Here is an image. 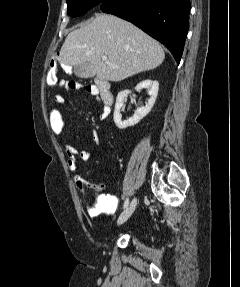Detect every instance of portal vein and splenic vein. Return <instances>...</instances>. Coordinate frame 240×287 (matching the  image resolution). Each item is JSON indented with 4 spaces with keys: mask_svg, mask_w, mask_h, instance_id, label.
<instances>
[{
    "mask_svg": "<svg viewBox=\"0 0 240 287\" xmlns=\"http://www.w3.org/2000/svg\"><path fill=\"white\" fill-rule=\"evenodd\" d=\"M102 60L105 61V62H108V57L106 55H103L102 56Z\"/></svg>",
    "mask_w": 240,
    "mask_h": 287,
    "instance_id": "obj_1",
    "label": "portal vein and splenic vein"
}]
</instances>
